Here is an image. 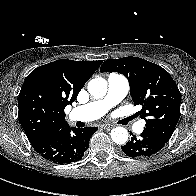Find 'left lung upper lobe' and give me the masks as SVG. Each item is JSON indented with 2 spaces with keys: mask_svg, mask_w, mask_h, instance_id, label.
<instances>
[{
  "mask_svg": "<svg viewBox=\"0 0 196 196\" xmlns=\"http://www.w3.org/2000/svg\"><path fill=\"white\" fill-rule=\"evenodd\" d=\"M100 72H118L128 78L134 105H142L138 115L146 121L144 130L167 143L177 125L181 102L170 74L159 65L138 57L106 60Z\"/></svg>",
  "mask_w": 196,
  "mask_h": 196,
  "instance_id": "5c2ea615",
  "label": "left lung upper lobe"
}]
</instances>
